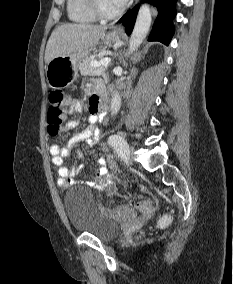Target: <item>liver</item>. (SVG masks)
<instances>
[{
  "label": "liver",
  "instance_id": "liver-1",
  "mask_svg": "<svg viewBox=\"0 0 233 284\" xmlns=\"http://www.w3.org/2000/svg\"><path fill=\"white\" fill-rule=\"evenodd\" d=\"M107 30L106 26L64 24L52 32L45 50V63L75 51L93 48Z\"/></svg>",
  "mask_w": 233,
  "mask_h": 284
}]
</instances>
